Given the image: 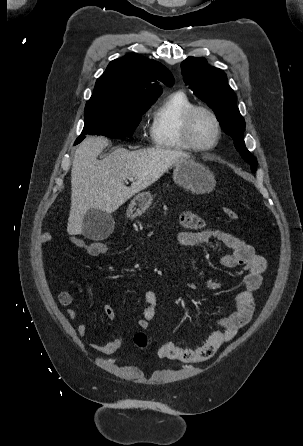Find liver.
<instances>
[{"instance_id":"obj_1","label":"liver","mask_w":303,"mask_h":446,"mask_svg":"<svg viewBox=\"0 0 303 446\" xmlns=\"http://www.w3.org/2000/svg\"><path fill=\"white\" fill-rule=\"evenodd\" d=\"M104 137H88L76 149L71 170V210L67 232L82 233L85 214L97 209L108 214L139 191L157 181L172 165L189 158L187 153L166 149L128 151L119 147L102 160ZM135 178L130 187L124 182Z\"/></svg>"}]
</instances>
